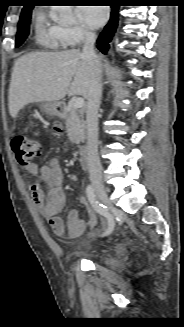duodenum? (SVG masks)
I'll return each mask as SVG.
<instances>
[{
    "label": "duodenum",
    "mask_w": 184,
    "mask_h": 327,
    "mask_svg": "<svg viewBox=\"0 0 184 327\" xmlns=\"http://www.w3.org/2000/svg\"><path fill=\"white\" fill-rule=\"evenodd\" d=\"M55 110L57 112V114L61 117H65L67 115V108L65 105L63 104H57L55 107ZM79 153L81 156V162L83 164V166H88V150L87 147L85 145H81L79 147Z\"/></svg>",
    "instance_id": "410a0bca"
}]
</instances>
